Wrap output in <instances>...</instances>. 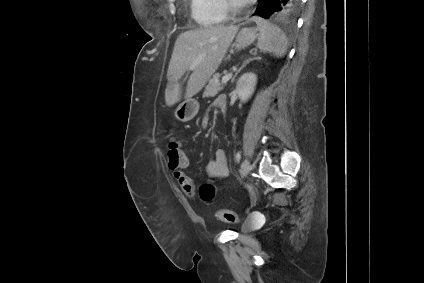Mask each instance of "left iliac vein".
Here are the masks:
<instances>
[{
  "instance_id": "1",
  "label": "left iliac vein",
  "mask_w": 424,
  "mask_h": 283,
  "mask_svg": "<svg viewBox=\"0 0 424 283\" xmlns=\"http://www.w3.org/2000/svg\"><path fill=\"white\" fill-rule=\"evenodd\" d=\"M249 171H250V162L249 160L245 159L243 160L241 165V175L246 176L249 173Z\"/></svg>"
}]
</instances>
